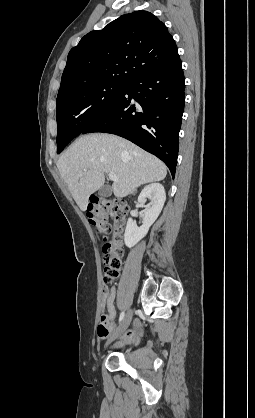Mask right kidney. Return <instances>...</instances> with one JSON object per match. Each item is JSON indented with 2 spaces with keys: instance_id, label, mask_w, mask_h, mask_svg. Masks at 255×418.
Instances as JSON below:
<instances>
[{
  "instance_id": "ca27d5eb",
  "label": "right kidney",
  "mask_w": 255,
  "mask_h": 418,
  "mask_svg": "<svg viewBox=\"0 0 255 418\" xmlns=\"http://www.w3.org/2000/svg\"><path fill=\"white\" fill-rule=\"evenodd\" d=\"M147 198L151 200V203L143 211L142 226L138 227L132 218H129L127 221L124 241L128 248H132L146 236L150 226L156 221L161 213L166 200L164 187L159 183H152L146 186L138 197L140 206L144 207Z\"/></svg>"
}]
</instances>
